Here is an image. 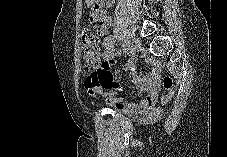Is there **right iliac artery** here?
Here are the masks:
<instances>
[{"label": "right iliac artery", "instance_id": "1", "mask_svg": "<svg viewBox=\"0 0 227 157\" xmlns=\"http://www.w3.org/2000/svg\"><path fill=\"white\" fill-rule=\"evenodd\" d=\"M128 42V41H127ZM129 44V43H128ZM126 53H129L130 52V49L129 48H125L124 49Z\"/></svg>", "mask_w": 227, "mask_h": 157}]
</instances>
